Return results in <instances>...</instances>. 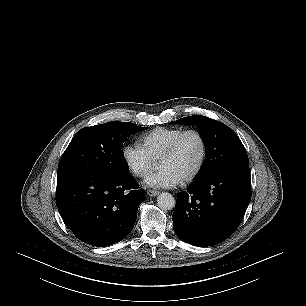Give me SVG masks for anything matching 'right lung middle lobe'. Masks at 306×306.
Instances as JSON below:
<instances>
[{
    "instance_id": "obj_1",
    "label": "right lung middle lobe",
    "mask_w": 306,
    "mask_h": 306,
    "mask_svg": "<svg viewBox=\"0 0 306 306\" xmlns=\"http://www.w3.org/2000/svg\"><path fill=\"white\" fill-rule=\"evenodd\" d=\"M147 127L112 121L78 131L66 148L58 166L57 182L86 172L128 174L122 150L126 138Z\"/></svg>"
}]
</instances>
